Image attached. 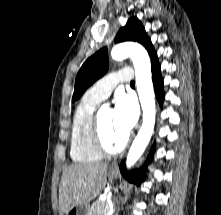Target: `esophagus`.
Returning a JSON list of instances; mask_svg holds the SVG:
<instances>
[{"label": "esophagus", "mask_w": 221, "mask_h": 215, "mask_svg": "<svg viewBox=\"0 0 221 215\" xmlns=\"http://www.w3.org/2000/svg\"><path fill=\"white\" fill-rule=\"evenodd\" d=\"M111 168H112V169H116V168H117V164H113V165L111 166Z\"/></svg>", "instance_id": "obj_1"}]
</instances>
